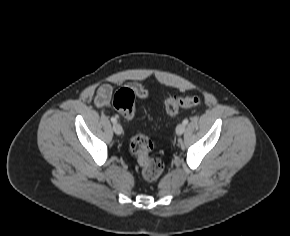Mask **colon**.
Returning a JSON list of instances; mask_svg holds the SVG:
<instances>
[{
  "label": "colon",
  "mask_w": 290,
  "mask_h": 236,
  "mask_svg": "<svg viewBox=\"0 0 290 236\" xmlns=\"http://www.w3.org/2000/svg\"><path fill=\"white\" fill-rule=\"evenodd\" d=\"M136 94L133 87H122L114 96V107L125 119L131 120L136 115L134 106ZM200 102V97L197 95H171L165 100L164 106L167 115L174 116L180 108L195 107ZM130 149L137 157L143 178L148 182L157 180L164 170V163L159 157L151 156L152 141L144 134H136L130 141Z\"/></svg>",
  "instance_id": "obj_1"
}]
</instances>
